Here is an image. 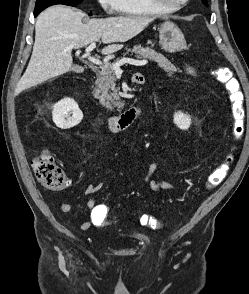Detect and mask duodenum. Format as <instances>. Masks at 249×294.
<instances>
[{"label":"duodenum","mask_w":249,"mask_h":294,"mask_svg":"<svg viewBox=\"0 0 249 294\" xmlns=\"http://www.w3.org/2000/svg\"><path fill=\"white\" fill-rule=\"evenodd\" d=\"M135 84L144 85L145 78L142 74L136 73L133 75ZM144 105L136 104L126 110L121 115L110 116L108 119V127L113 132H120L131 126L143 113Z\"/></svg>","instance_id":"obj_1"}]
</instances>
